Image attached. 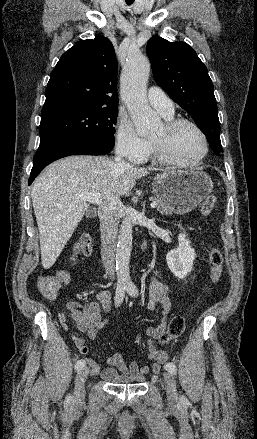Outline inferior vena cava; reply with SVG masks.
<instances>
[{
  "mask_svg": "<svg viewBox=\"0 0 257 439\" xmlns=\"http://www.w3.org/2000/svg\"><path fill=\"white\" fill-rule=\"evenodd\" d=\"M115 162L122 167H132L124 162L121 155L114 158ZM119 197L113 195L108 203L101 205L98 209V216L101 228V256L105 266L106 274L111 279L115 278V249L118 232V206Z\"/></svg>",
  "mask_w": 257,
  "mask_h": 439,
  "instance_id": "602c4592",
  "label": "inferior vena cava"
}]
</instances>
